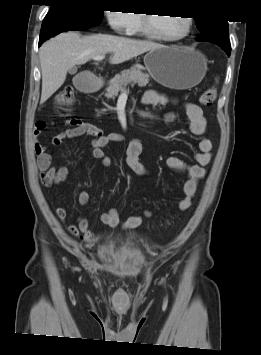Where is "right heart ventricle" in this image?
Wrapping results in <instances>:
<instances>
[{
    "mask_svg": "<svg viewBox=\"0 0 261 355\" xmlns=\"http://www.w3.org/2000/svg\"><path fill=\"white\" fill-rule=\"evenodd\" d=\"M141 32H142V30H141V16L136 15L135 25H134L133 30L131 31L130 34L138 35V34H141Z\"/></svg>",
    "mask_w": 261,
    "mask_h": 355,
    "instance_id": "obj_1",
    "label": "right heart ventricle"
}]
</instances>
